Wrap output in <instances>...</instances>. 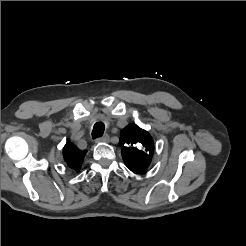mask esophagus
<instances>
[{
	"label": "esophagus",
	"mask_w": 246,
	"mask_h": 246,
	"mask_svg": "<svg viewBox=\"0 0 246 246\" xmlns=\"http://www.w3.org/2000/svg\"><path fill=\"white\" fill-rule=\"evenodd\" d=\"M109 141V135L104 134L102 137H99L96 139V142H108Z\"/></svg>",
	"instance_id": "1"
}]
</instances>
